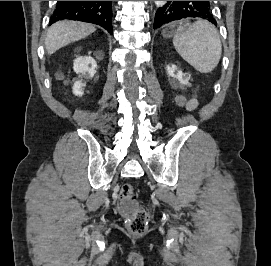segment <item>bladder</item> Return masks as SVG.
I'll return each instance as SVG.
<instances>
[{"label": "bladder", "mask_w": 271, "mask_h": 266, "mask_svg": "<svg viewBox=\"0 0 271 266\" xmlns=\"http://www.w3.org/2000/svg\"><path fill=\"white\" fill-rule=\"evenodd\" d=\"M136 206V202L134 200L131 201H127L124 203V205L122 206V211L123 212H128L131 209H133Z\"/></svg>", "instance_id": "obj_1"}]
</instances>
